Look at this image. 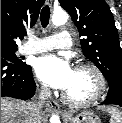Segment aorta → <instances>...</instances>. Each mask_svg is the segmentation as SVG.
Returning <instances> with one entry per match:
<instances>
[{
  "mask_svg": "<svg viewBox=\"0 0 122 123\" xmlns=\"http://www.w3.org/2000/svg\"><path fill=\"white\" fill-rule=\"evenodd\" d=\"M67 20H68V15L64 11L55 12L52 17V23L55 26H61L65 24ZM50 123H60L59 116L56 114H53L50 118Z\"/></svg>",
  "mask_w": 122,
  "mask_h": 123,
  "instance_id": "obj_1",
  "label": "aorta"
}]
</instances>
